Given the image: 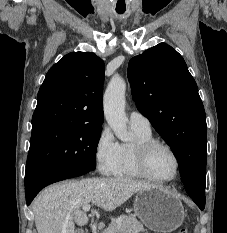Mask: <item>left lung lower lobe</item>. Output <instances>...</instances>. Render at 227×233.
<instances>
[{"label": "left lung lower lobe", "instance_id": "left-lung-lower-lobe-1", "mask_svg": "<svg viewBox=\"0 0 227 233\" xmlns=\"http://www.w3.org/2000/svg\"><path fill=\"white\" fill-rule=\"evenodd\" d=\"M193 201L198 205V207L203 210L204 207H205V199H200L199 197L197 196H190Z\"/></svg>", "mask_w": 227, "mask_h": 233}]
</instances>
